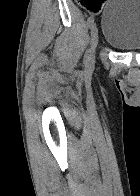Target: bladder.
Wrapping results in <instances>:
<instances>
[{"label":"bladder","instance_id":"obj_1","mask_svg":"<svg viewBox=\"0 0 140 196\" xmlns=\"http://www.w3.org/2000/svg\"><path fill=\"white\" fill-rule=\"evenodd\" d=\"M102 34L117 50L140 51V0H109L102 13Z\"/></svg>","mask_w":140,"mask_h":196}]
</instances>
